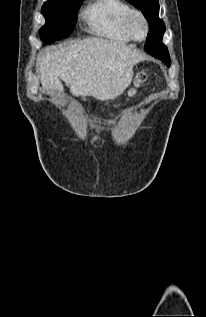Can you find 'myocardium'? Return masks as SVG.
<instances>
[{"instance_id": "f54148a6", "label": "myocardium", "mask_w": 206, "mask_h": 317, "mask_svg": "<svg viewBox=\"0 0 206 317\" xmlns=\"http://www.w3.org/2000/svg\"><path fill=\"white\" fill-rule=\"evenodd\" d=\"M136 18L140 19L144 25L145 33H144L143 37H137L134 30H133V22ZM125 29L132 40L143 41L147 38L148 33H149V22L145 16V14L141 10L132 9L126 17Z\"/></svg>"}]
</instances>
